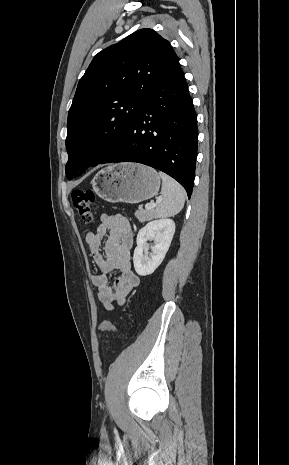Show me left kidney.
Masks as SVG:
<instances>
[{"label": "left kidney", "mask_w": 289, "mask_h": 465, "mask_svg": "<svg viewBox=\"0 0 289 465\" xmlns=\"http://www.w3.org/2000/svg\"><path fill=\"white\" fill-rule=\"evenodd\" d=\"M174 233L175 223L168 218L152 220L139 230L133 255L138 275H150L157 269L170 247ZM148 241H153V244L149 246Z\"/></svg>", "instance_id": "left-kidney-1"}]
</instances>
